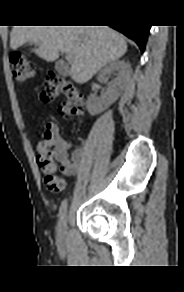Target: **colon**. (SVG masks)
Segmentation results:
<instances>
[{"instance_id": "1", "label": "colon", "mask_w": 184, "mask_h": 292, "mask_svg": "<svg viewBox=\"0 0 184 292\" xmlns=\"http://www.w3.org/2000/svg\"><path fill=\"white\" fill-rule=\"evenodd\" d=\"M14 80L24 84L36 75L35 66L21 55L10 57ZM61 98L63 103L59 111L66 118H81L84 115V98L80 90L69 80L57 73H50L45 78V87L39 95V101L47 103ZM55 126L46 124L39 132L40 141L37 146L36 161L45 174L44 183L50 192H60L64 188V180L57 176L56 154L50 141Z\"/></svg>"}]
</instances>
